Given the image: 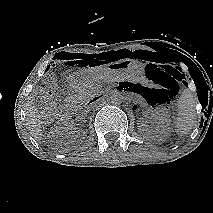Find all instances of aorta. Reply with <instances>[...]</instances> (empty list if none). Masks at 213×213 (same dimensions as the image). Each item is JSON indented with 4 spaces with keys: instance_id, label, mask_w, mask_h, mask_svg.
<instances>
[{
    "instance_id": "1",
    "label": "aorta",
    "mask_w": 213,
    "mask_h": 213,
    "mask_svg": "<svg viewBox=\"0 0 213 213\" xmlns=\"http://www.w3.org/2000/svg\"><path fill=\"white\" fill-rule=\"evenodd\" d=\"M123 99L124 98L120 92H114L109 96L108 101L113 106H120L123 103Z\"/></svg>"
}]
</instances>
